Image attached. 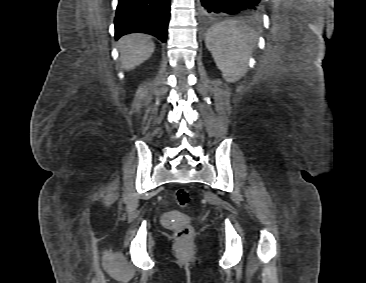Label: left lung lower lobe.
<instances>
[{
  "label": "left lung lower lobe",
  "instance_id": "0a47b994",
  "mask_svg": "<svg viewBox=\"0 0 366 283\" xmlns=\"http://www.w3.org/2000/svg\"><path fill=\"white\" fill-rule=\"evenodd\" d=\"M201 11L205 17L216 14L235 15L239 12H255L261 10L262 0H200Z\"/></svg>",
  "mask_w": 366,
  "mask_h": 283
}]
</instances>
